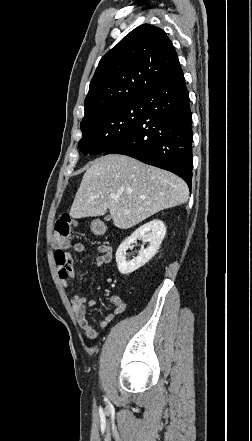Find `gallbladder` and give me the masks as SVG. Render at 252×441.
<instances>
[{
  "label": "gallbladder",
  "mask_w": 252,
  "mask_h": 441,
  "mask_svg": "<svg viewBox=\"0 0 252 441\" xmlns=\"http://www.w3.org/2000/svg\"><path fill=\"white\" fill-rule=\"evenodd\" d=\"M106 220H109V217H105Z\"/></svg>",
  "instance_id": "obj_1"
}]
</instances>
